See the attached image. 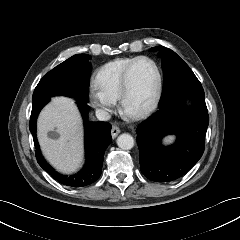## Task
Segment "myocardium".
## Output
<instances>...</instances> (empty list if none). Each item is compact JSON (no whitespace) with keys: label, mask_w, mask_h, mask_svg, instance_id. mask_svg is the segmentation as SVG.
Segmentation results:
<instances>
[{"label":"myocardium","mask_w":240,"mask_h":240,"mask_svg":"<svg viewBox=\"0 0 240 240\" xmlns=\"http://www.w3.org/2000/svg\"><path fill=\"white\" fill-rule=\"evenodd\" d=\"M142 60H147L151 62L155 67L156 75H157L155 91L146 106H144L143 108L135 112H127L125 106H126L127 97L130 92L131 73L135 65ZM162 89H163V76H162V71L159 64L150 56L142 55V56L136 57L135 60L132 63H130V65L126 68L123 74L121 90L118 97L119 109L124 115L128 116L129 118H132V119L144 118L148 116L158 105L159 100L161 98Z\"/></svg>","instance_id":"1"}]
</instances>
